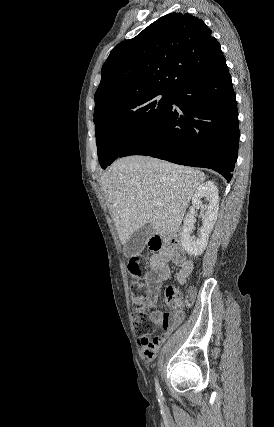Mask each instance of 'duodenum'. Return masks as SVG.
Instances as JSON below:
<instances>
[{
	"mask_svg": "<svg viewBox=\"0 0 274 427\" xmlns=\"http://www.w3.org/2000/svg\"><path fill=\"white\" fill-rule=\"evenodd\" d=\"M152 245L156 248V249H160L163 246V241L160 238L159 235H155L152 238Z\"/></svg>",
	"mask_w": 274,
	"mask_h": 427,
	"instance_id": "1",
	"label": "duodenum"
}]
</instances>
